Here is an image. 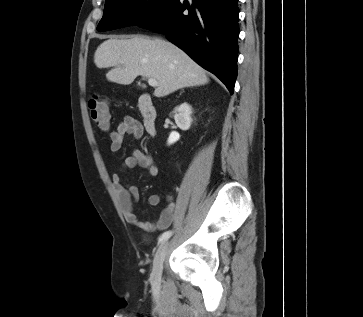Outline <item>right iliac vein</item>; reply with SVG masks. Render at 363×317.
Returning <instances> with one entry per match:
<instances>
[{
  "label": "right iliac vein",
  "instance_id": "1",
  "mask_svg": "<svg viewBox=\"0 0 363 317\" xmlns=\"http://www.w3.org/2000/svg\"><path fill=\"white\" fill-rule=\"evenodd\" d=\"M167 250H168V241H165L159 246L153 261L150 282L154 290H156L159 287L161 282L163 262L167 254Z\"/></svg>",
  "mask_w": 363,
  "mask_h": 317
}]
</instances>
